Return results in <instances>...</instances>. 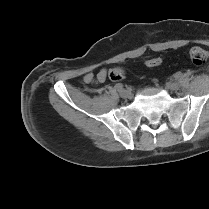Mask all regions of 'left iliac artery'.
Returning a JSON list of instances; mask_svg holds the SVG:
<instances>
[{
	"mask_svg": "<svg viewBox=\"0 0 209 209\" xmlns=\"http://www.w3.org/2000/svg\"><path fill=\"white\" fill-rule=\"evenodd\" d=\"M180 80H181V76L179 74L173 76V81L179 82Z\"/></svg>",
	"mask_w": 209,
	"mask_h": 209,
	"instance_id": "left-iliac-artery-1",
	"label": "left iliac artery"
}]
</instances>
